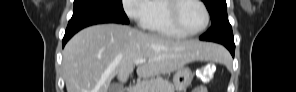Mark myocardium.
I'll list each match as a JSON object with an SVG mask.
<instances>
[{"mask_svg":"<svg viewBox=\"0 0 296 92\" xmlns=\"http://www.w3.org/2000/svg\"><path fill=\"white\" fill-rule=\"evenodd\" d=\"M186 1H194V2L198 3L202 7V9L205 13L204 25L199 30L194 31V32L186 31L181 26V24L179 22V18H178L179 8ZM168 19H169V22L171 23V25L174 27V29L177 30L179 33H181L182 35L187 36V37H193V36L199 35L208 27L209 22H210V13L203 1H200V0H173V1H170V3H169Z\"/></svg>","mask_w":296,"mask_h":92,"instance_id":"obj_1","label":"myocardium"}]
</instances>
